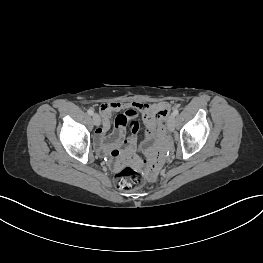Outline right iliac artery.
<instances>
[{"label":"right iliac artery","instance_id":"1","mask_svg":"<svg viewBox=\"0 0 263 263\" xmlns=\"http://www.w3.org/2000/svg\"><path fill=\"white\" fill-rule=\"evenodd\" d=\"M87 113L89 114V115H93V110L92 109H89L88 111H87Z\"/></svg>","mask_w":263,"mask_h":263}]
</instances>
